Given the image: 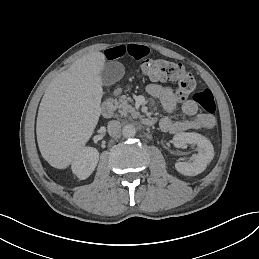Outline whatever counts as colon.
<instances>
[{"label": "colon", "mask_w": 259, "mask_h": 259, "mask_svg": "<svg viewBox=\"0 0 259 259\" xmlns=\"http://www.w3.org/2000/svg\"><path fill=\"white\" fill-rule=\"evenodd\" d=\"M141 71L151 80L177 84V96L182 100L196 87L193 75L178 62L164 58L147 59L141 64ZM193 100L208 114H213L216 110L214 96L208 89L196 92Z\"/></svg>", "instance_id": "colon-1"}]
</instances>
